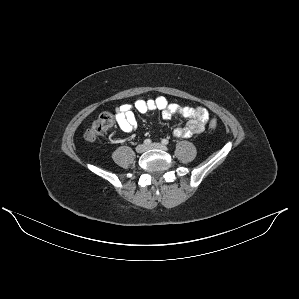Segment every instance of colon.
Segmentation results:
<instances>
[{"instance_id": "colon-1", "label": "colon", "mask_w": 299, "mask_h": 299, "mask_svg": "<svg viewBox=\"0 0 299 299\" xmlns=\"http://www.w3.org/2000/svg\"><path fill=\"white\" fill-rule=\"evenodd\" d=\"M114 125V116L111 113L104 112L100 114L87 128L84 137L86 140H95L99 137L107 135ZM209 127L211 129L217 128V121L210 120Z\"/></svg>"}]
</instances>
